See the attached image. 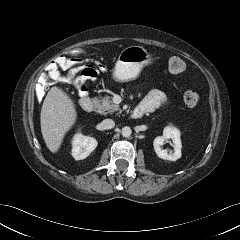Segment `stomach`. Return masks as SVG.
<instances>
[{
    "mask_svg": "<svg viewBox=\"0 0 240 240\" xmlns=\"http://www.w3.org/2000/svg\"><path fill=\"white\" fill-rule=\"evenodd\" d=\"M154 62L153 57L141 46H129L119 55L113 70V78L127 82L137 78L141 70Z\"/></svg>",
    "mask_w": 240,
    "mask_h": 240,
    "instance_id": "obj_1",
    "label": "stomach"
}]
</instances>
